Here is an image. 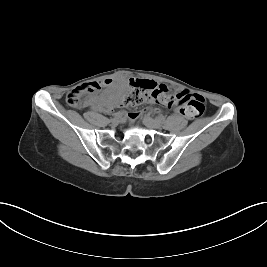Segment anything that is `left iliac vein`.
I'll return each mask as SVG.
<instances>
[{
  "label": "left iliac vein",
  "instance_id": "4c4485c4",
  "mask_svg": "<svg viewBox=\"0 0 267 267\" xmlns=\"http://www.w3.org/2000/svg\"><path fill=\"white\" fill-rule=\"evenodd\" d=\"M143 122L147 127L152 129H159L162 127V123L159 120L153 119L149 116H144Z\"/></svg>",
  "mask_w": 267,
  "mask_h": 267
}]
</instances>
